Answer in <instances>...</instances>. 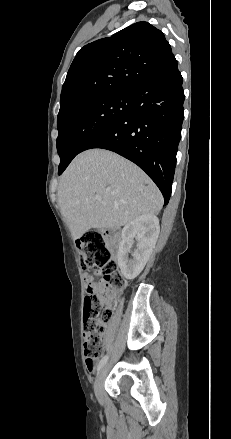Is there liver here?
I'll return each mask as SVG.
<instances>
[{
    "label": "liver",
    "mask_w": 231,
    "mask_h": 439,
    "mask_svg": "<svg viewBox=\"0 0 231 439\" xmlns=\"http://www.w3.org/2000/svg\"><path fill=\"white\" fill-rule=\"evenodd\" d=\"M58 201L74 238L91 228H120L163 206L161 192L139 167L105 149L73 159L61 177Z\"/></svg>",
    "instance_id": "liver-1"
}]
</instances>
